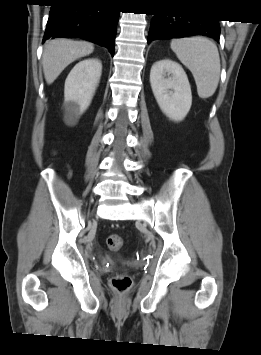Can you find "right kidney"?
Returning <instances> with one entry per match:
<instances>
[{
  "label": "right kidney",
  "mask_w": 261,
  "mask_h": 355,
  "mask_svg": "<svg viewBox=\"0 0 261 355\" xmlns=\"http://www.w3.org/2000/svg\"><path fill=\"white\" fill-rule=\"evenodd\" d=\"M101 72V61L97 58H89L77 63L67 76L63 106L68 122H75L90 105Z\"/></svg>",
  "instance_id": "1"
}]
</instances>
